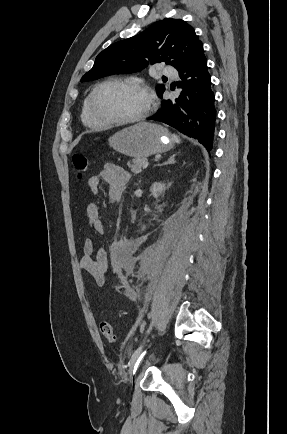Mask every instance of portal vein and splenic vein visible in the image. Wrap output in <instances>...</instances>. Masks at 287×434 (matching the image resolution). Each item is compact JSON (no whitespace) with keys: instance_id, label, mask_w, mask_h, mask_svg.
Instances as JSON below:
<instances>
[{"instance_id":"18ae733b","label":"portal vein and splenic vein","mask_w":287,"mask_h":434,"mask_svg":"<svg viewBox=\"0 0 287 434\" xmlns=\"http://www.w3.org/2000/svg\"><path fill=\"white\" fill-rule=\"evenodd\" d=\"M149 163L148 161H144L143 162V169H146L148 167Z\"/></svg>"}]
</instances>
